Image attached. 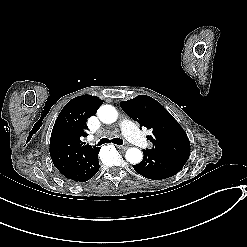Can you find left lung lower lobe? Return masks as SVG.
Here are the masks:
<instances>
[{
    "instance_id": "0a47b994",
    "label": "left lung lower lobe",
    "mask_w": 247,
    "mask_h": 247,
    "mask_svg": "<svg viewBox=\"0 0 247 247\" xmlns=\"http://www.w3.org/2000/svg\"><path fill=\"white\" fill-rule=\"evenodd\" d=\"M143 160L134 165V170L145 178L161 180L177 174L184 164L150 149L143 150Z\"/></svg>"
}]
</instances>
